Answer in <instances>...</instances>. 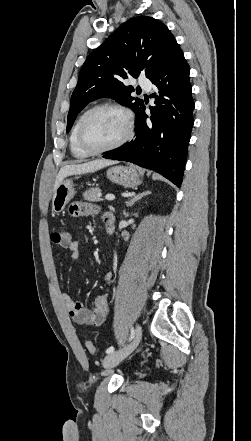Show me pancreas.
I'll list each match as a JSON object with an SVG mask.
<instances>
[{
	"instance_id": "1",
	"label": "pancreas",
	"mask_w": 251,
	"mask_h": 441,
	"mask_svg": "<svg viewBox=\"0 0 251 441\" xmlns=\"http://www.w3.org/2000/svg\"><path fill=\"white\" fill-rule=\"evenodd\" d=\"M100 193H101L100 188L92 187L89 190L84 192L83 197L85 200H88V201L99 202L102 200L99 196Z\"/></svg>"
}]
</instances>
